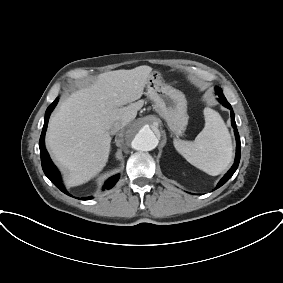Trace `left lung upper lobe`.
I'll return each instance as SVG.
<instances>
[{
	"label": "left lung upper lobe",
	"instance_id": "obj_1",
	"mask_svg": "<svg viewBox=\"0 0 283 283\" xmlns=\"http://www.w3.org/2000/svg\"><path fill=\"white\" fill-rule=\"evenodd\" d=\"M216 92H217L218 96H224L223 91H222L221 88L217 87L216 88Z\"/></svg>",
	"mask_w": 283,
	"mask_h": 283
}]
</instances>
